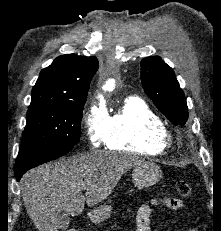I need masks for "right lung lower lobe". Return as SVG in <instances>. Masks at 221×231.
<instances>
[{
  "label": "right lung lower lobe",
  "mask_w": 221,
  "mask_h": 231,
  "mask_svg": "<svg viewBox=\"0 0 221 231\" xmlns=\"http://www.w3.org/2000/svg\"><path fill=\"white\" fill-rule=\"evenodd\" d=\"M70 150H61V151H51L38 154L36 156L31 157L30 159L26 160L25 162L15 165L14 174L17 181L20 180L22 175L29 169L36 167L40 164L45 162L57 159L65 154H67Z\"/></svg>",
  "instance_id": "right-lung-lower-lobe-1"
}]
</instances>
